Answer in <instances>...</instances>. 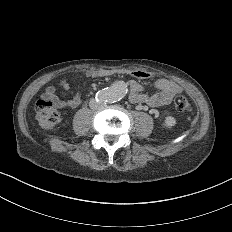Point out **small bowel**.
<instances>
[{
  "label": "small bowel",
  "mask_w": 232,
  "mask_h": 232,
  "mask_svg": "<svg viewBox=\"0 0 232 232\" xmlns=\"http://www.w3.org/2000/svg\"><path fill=\"white\" fill-rule=\"evenodd\" d=\"M125 76L126 86L130 91L129 100L131 102H141L146 99L145 95L141 91V87L138 80L147 79L152 76V72L147 69H98L88 73V78L94 83L99 84L104 78L110 76ZM155 86L160 89L159 92L150 94L147 97V101L153 106H160L168 103L175 95L182 91V86L167 78L157 79L154 82ZM57 86L65 91L72 88V83L67 79H61L58 81ZM46 94L51 98L53 103L60 107H75L81 99L79 92H76L74 96L69 100H62L57 95V87L49 86L45 90Z\"/></svg>",
  "instance_id": "small-bowel-1"
}]
</instances>
